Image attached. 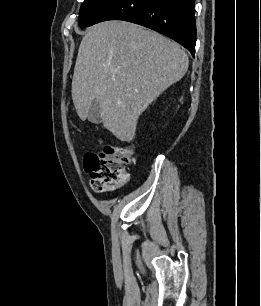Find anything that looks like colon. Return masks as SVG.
Masks as SVG:
<instances>
[{
  "label": "colon",
  "instance_id": "1",
  "mask_svg": "<svg viewBox=\"0 0 261 306\" xmlns=\"http://www.w3.org/2000/svg\"><path fill=\"white\" fill-rule=\"evenodd\" d=\"M128 147L106 145L100 153H88L84 159L85 170L90 174V184L95 191L103 192L128 181L126 166L131 161Z\"/></svg>",
  "mask_w": 261,
  "mask_h": 306
}]
</instances>
